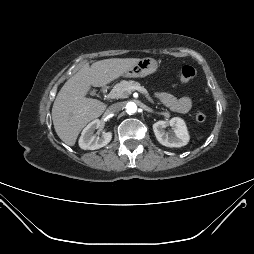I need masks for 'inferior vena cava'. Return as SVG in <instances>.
Listing matches in <instances>:
<instances>
[{
  "label": "inferior vena cava",
  "mask_w": 254,
  "mask_h": 254,
  "mask_svg": "<svg viewBox=\"0 0 254 254\" xmlns=\"http://www.w3.org/2000/svg\"><path fill=\"white\" fill-rule=\"evenodd\" d=\"M121 109H122V104L115 103V104H112L108 107L107 112L108 113H116V112H119Z\"/></svg>",
  "instance_id": "obj_1"
}]
</instances>
